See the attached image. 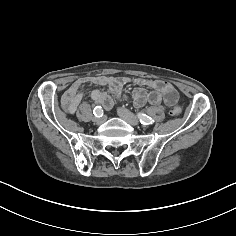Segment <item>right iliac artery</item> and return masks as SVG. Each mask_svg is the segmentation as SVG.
<instances>
[{
    "mask_svg": "<svg viewBox=\"0 0 236 236\" xmlns=\"http://www.w3.org/2000/svg\"><path fill=\"white\" fill-rule=\"evenodd\" d=\"M93 113L96 117H102L103 116V109L100 106H96L93 110Z\"/></svg>",
    "mask_w": 236,
    "mask_h": 236,
    "instance_id": "obj_1",
    "label": "right iliac artery"
}]
</instances>
